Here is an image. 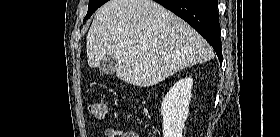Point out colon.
I'll use <instances>...</instances> for the list:
<instances>
[{"instance_id": "obj_1", "label": "colon", "mask_w": 280, "mask_h": 137, "mask_svg": "<svg viewBox=\"0 0 280 137\" xmlns=\"http://www.w3.org/2000/svg\"><path fill=\"white\" fill-rule=\"evenodd\" d=\"M88 111L95 119L103 120L107 115L108 107L103 102L94 101L88 105Z\"/></svg>"}]
</instances>
